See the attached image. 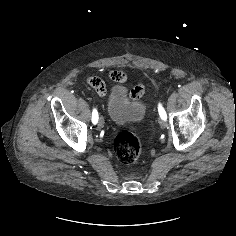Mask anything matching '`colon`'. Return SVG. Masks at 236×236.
Masks as SVG:
<instances>
[{
    "instance_id": "5ec220e1",
    "label": "colon",
    "mask_w": 236,
    "mask_h": 236,
    "mask_svg": "<svg viewBox=\"0 0 236 236\" xmlns=\"http://www.w3.org/2000/svg\"><path fill=\"white\" fill-rule=\"evenodd\" d=\"M134 96V92H132ZM142 150L141 140L134 128L120 132L114 140V151L124 164L134 163Z\"/></svg>"
}]
</instances>
